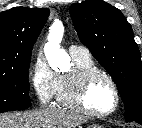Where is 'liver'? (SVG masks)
Returning <instances> with one entry per match:
<instances>
[{
  "instance_id": "1",
  "label": "liver",
  "mask_w": 142,
  "mask_h": 128,
  "mask_svg": "<svg viewBox=\"0 0 142 128\" xmlns=\"http://www.w3.org/2000/svg\"><path fill=\"white\" fill-rule=\"evenodd\" d=\"M85 118L71 111L48 107L0 115V128H76Z\"/></svg>"
}]
</instances>
